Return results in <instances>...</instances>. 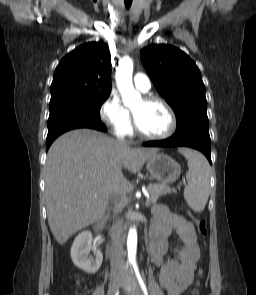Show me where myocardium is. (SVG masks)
<instances>
[{
    "mask_svg": "<svg viewBox=\"0 0 256 295\" xmlns=\"http://www.w3.org/2000/svg\"><path fill=\"white\" fill-rule=\"evenodd\" d=\"M143 100L146 103H159L166 109V111L168 112V115H169V119H170L169 128L167 129L166 132H164L163 134H159V135H151V134L145 133L138 126V124L135 120V117L132 113V127H133L134 132L139 137H141L143 139H147V140H164V139H167L170 136H172L176 130L177 120H176V116H175L174 110L172 109L171 105L165 99L158 97V96H154V95L146 96L143 98Z\"/></svg>",
    "mask_w": 256,
    "mask_h": 295,
    "instance_id": "obj_1",
    "label": "myocardium"
}]
</instances>
